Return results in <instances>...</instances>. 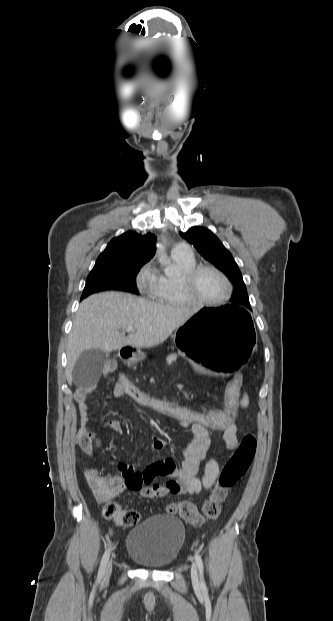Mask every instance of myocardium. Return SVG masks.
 Segmentation results:
<instances>
[{
    "label": "myocardium",
    "instance_id": "1",
    "mask_svg": "<svg viewBox=\"0 0 333 621\" xmlns=\"http://www.w3.org/2000/svg\"><path fill=\"white\" fill-rule=\"evenodd\" d=\"M204 271H212L224 280L227 286V292L223 298L219 300L211 301V300H204L200 298L199 296H197V294L195 293V283H196L198 276ZM181 286H182L184 295L190 301V303L195 304V305H201V306L223 305L229 301L233 293V284L228 278V276L222 270L212 265H197L191 270H189L188 272H186L181 279Z\"/></svg>",
    "mask_w": 333,
    "mask_h": 621
}]
</instances>
